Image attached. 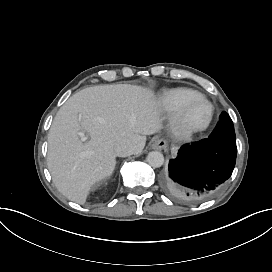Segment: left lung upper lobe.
<instances>
[{
    "label": "left lung upper lobe",
    "mask_w": 272,
    "mask_h": 272,
    "mask_svg": "<svg viewBox=\"0 0 272 272\" xmlns=\"http://www.w3.org/2000/svg\"><path fill=\"white\" fill-rule=\"evenodd\" d=\"M209 139L236 144L234 125L225 111L220 115L218 125L209 136Z\"/></svg>",
    "instance_id": "5c2ea615"
}]
</instances>
